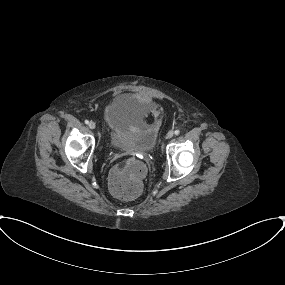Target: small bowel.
<instances>
[{
    "label": "small bowel",
    "instance_id": "obj_1",
    "mask_svg": "<svg viewBox=\"0 0 285 285\" xmlns=\"http://www.w3.org/2000/svg\"><path fill=\"white\" fill-rule=\"evenodd\" d=\"M164 115L165 112L162 109H155L151 115V120L155 123L159 122L160 120H162ZM105 121L108 127L115 132H120L127 125V123L113 111H108L105 114Z\"/></svg>",
    "mask_w": 285,
    "mask_h": 285
}]
</instances>
